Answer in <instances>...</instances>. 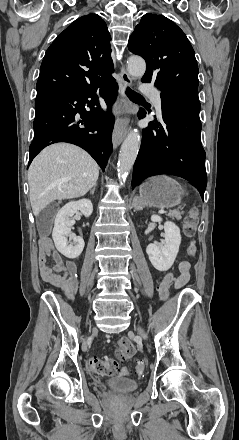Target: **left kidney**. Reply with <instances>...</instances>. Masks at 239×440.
I'll return each mask as SVG.
<instances>
[{
	"label": "left kidney",
	"instance_id": "left-kidney-1",
	"mask_svg": "<svg viewBox=\"0 0 239 440\" xmlns=\"http://www.w3.org/2000/svg\"><path fill=\"white\" fill-rule=\"evenodd\" d=\"M151 222H162L160 216H151ZM165 244H149L146 248L148 258L159 272H167L175 262L181 244L180 230L173 222H165Z\"/></svg>",
	"mask_w": 239,
	"mask_h": 440
}]
</instances>
